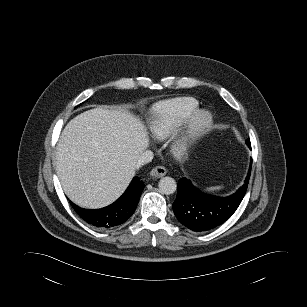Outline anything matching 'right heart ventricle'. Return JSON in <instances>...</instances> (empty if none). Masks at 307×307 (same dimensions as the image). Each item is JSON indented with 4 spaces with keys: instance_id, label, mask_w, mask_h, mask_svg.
<instances>
[{
    "instance_id": "e07e8e85",
    "label": "right heart ventricle",
    "mask_w": 307,
    "mask_h": 307,
    "mask_svg": "<svg viewBox=\"0 0 307 307\" xmlns=\"http://www.w3.org/2000/svg\"><path fill=\"white\" fill-rule=\"evenodd\" d=\"M197 109L198 101L192 97H177L154 104L151 109V133L159 140L170 137Z\"/></svg>"
}]
</instances>
